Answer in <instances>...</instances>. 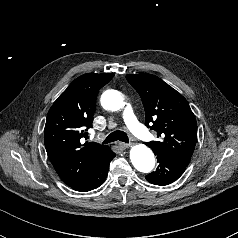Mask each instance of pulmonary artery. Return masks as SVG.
Masks as SVG:
<instances>
[{"instance_id": "pulmonary-artery-1", "label": "pulmonary artery", "mask_w": 238, "mask_h": 238, "mask_svg": "<svg viewBox=\"0 0 238 238\" xmlns=\"http://www.w3.org/2000/svg\"><path fill=\"white\" fill-rule=\"evenodd\" d=\"M123 119L131 130V132L138 138L143 140H149L150 134L146 128L138 121L134 114L133 108L130 103H127L123 110Z\"/></svg>"}]
</instances>
